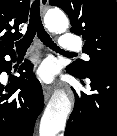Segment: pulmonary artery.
<instances>
[{"label": "pulmonary artery", "instance_id": "obj_1", "mask_svg": "<svg viewBox=\"0 0 117 136\" xmlns=\"http://www.w3.org/2000/svg\"><path fill=\"white\" fill-rule=\"evenodd\" d=\"M59 47L63 50H80L81 48V43L78 38L75 36L65 33L61 36L60 41H59ZM85 59H88L87 55H84Z\"/></svg>", "mask_w": 117, "mask_h": 136}]
</instances>
